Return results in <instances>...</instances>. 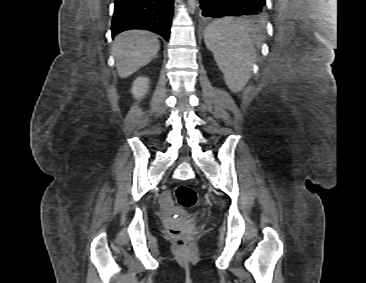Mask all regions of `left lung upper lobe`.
I'll use <instances>...</instances> for the list:
<instances>
[{
    "mask_svg": "<svg viewBox=\"0 0 366 283\" xmlns=\"http://www.w3.org/2000/svg\"><path fill=\"white\" fill-rule=\"evenodd\" d=\"M263 15H264V12H263V13H261V14L255 15L254 17L258 19V18H262V17H263Z\"/></svg>",
    "mask_w": 366,
    "mask_h": 283,
    "instance_id": "5c2ea615",
    "label": "left lung upper lobe"
}]
</instances>
